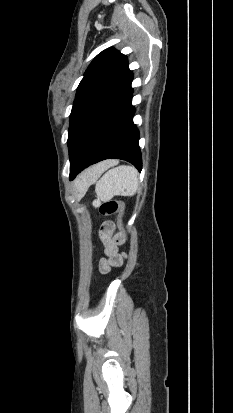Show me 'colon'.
Returning <instances> with one entry per match:
<instances>
[{
	"mask_svg": "<svg viewBox=\"0 0 233 413\" xmlns=\"http://www.w3.org/2000/svg\"><path fill=\"white\" fill-rule=\"evenodd\" d=\"M125 206L124 203L117 200L104 201L99 206V212L103 216H110L115 213H119L118 226L121 231L124 232L123 217H124Z\"/></svg>",
	"mask_w": 233,
	"mask_h": 413,
	"instance_id": "1",
	"label": "colon"
}]
</instances>
